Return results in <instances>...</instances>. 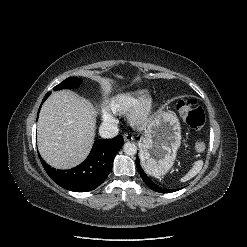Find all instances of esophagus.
<instances>
[{"instance_id":"1","label":"esophagus","mask_w":247,"mask_h":247,"mask_svg":"<svg viewBox=\"0 0 247 247\" xmlns=\"http://www.w3.org/2000/svg\"><path fill=\"white\" fill-rule=\"evenodd\" d=\"M123 138H124L125 141H132L133 140V136L130 135V134H127V133H125L123 135Z\"/></svg>"}]
</instances>
